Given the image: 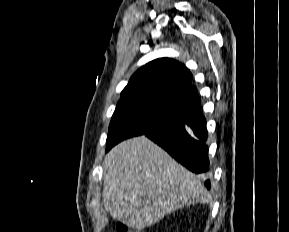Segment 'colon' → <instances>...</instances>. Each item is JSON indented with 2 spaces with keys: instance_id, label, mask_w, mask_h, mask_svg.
<instances>
[{
  "instance_id": "1",
  "label": "colon",
  "mask_w": 289,
  "mask_h": 232,
  "mask_svg": "<svg viewBox=\"0 0 289 232\" xmlns=\"http://www.w3.org/2000/svg\"><path fill=\"white\" fill-rule=\"evenodd\" d=\"M117 232H141L139 230L130 229L125 223L118 222L116 225Z\"/></svg>"
}]
</instances>
